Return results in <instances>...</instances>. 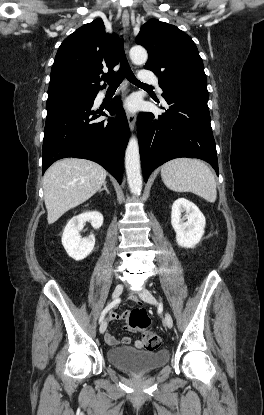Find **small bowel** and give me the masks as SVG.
Segmentation results:
<instances>
[{"instance_id": "1", "label": "small bowel", "mask_w": 264, "mask_h": 415, "mask_svg": "<svg viewBox=\"0 0 264 415\" xmlns=\"http://www.w3.org/2000/svg\"><path fill=\"white\" fill-rule=\"evenodd\" d=\"M127 318V314L125 312H111L109 314V319L111 321L114 320H125ZM121 329L126 330V331H130V332H136L138 329L134 328L130 325H123L121 326ZM105 341L108 345L110 346H118L119 344H123V345H129L131 344V338L129 336H125L123 337L121 340H118L112 333L107 332L105 334ZM136 348H143V344L142 341L140 340H136L134 343Z\"/></svg>"}]
</instances>
